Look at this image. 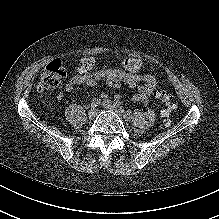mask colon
I'll list each match as a JSON object with an SVG mask.
<instances>
[{"instance_id":"1","label":"colon","mask_w":219,"mask_h":219,"mask_svg":"<svg viewBox=\"0 0 219 219\" xmlns=\"http://www.w3.org/2000/svg\"><path fill=\"white\" fill-rule=\"evenodd\" d=\"M94 61L92 58H85L83 65L86 68L92 67ZM66 74V68L60 59H55L49 62L42 70L38 81L39 91H49L55 89L64 78ZM157 97L162 101L165 109L163 123L168 125L170 123V114L175 109V102L173 96L166 92L160 91Z\"/></svg>"}]
</instances>
